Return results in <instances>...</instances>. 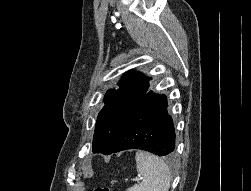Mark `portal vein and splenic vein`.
<instances>
[{"instance_id": "obj_1", "label": "portal vein and splenic vein", "mask_w": 251, "mask_h": 191, "mask_svg": "<svg viewBox=\"0 0 251 191\" xmlns=\"http://www.w3.org/2000/svg\"><path fill=\"white\" fill-rule=\"evenodd\" d=\"M140 178L139 177H133L132 178V183L139 182Z\"/></svg>"}]
</instances>
